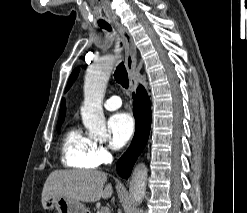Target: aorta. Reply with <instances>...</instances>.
<instances>
[{
    "label": "aorta",
    "mask_w": 247,
    "mask_h": 213,
    "mask_svg": "<svg viewBox=\"0 0 247 213\" xmlns=\"http://www.w3.org/2000/svg\"><path fill=\"white\" fill-rule=\"evenodd\" d=\"M113 63V56H105L98 63L92 65L85 75L84 103L81 107V116L84 126L93 137L106 132L102 102ZM146 180L147 168L140 164L134 169L129 186L130 195L137 204H141L144 199Z\"/></svg>",
    "instance_id": "obj_1"
}]
</instances>
